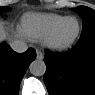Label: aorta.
I'll return each mask as SVG.
<instances>
[{
    "label": "aorta",
    "mask_w": 95,
    "mask_h": 95,
    "mask_svg": "<svg viewBox=\"0 0 95 95\" xmlns=\"http://www.w3.org/2000/svg\"><path fill=\"white\" fill-rule=\"evenodd\" d=\"M30 73L34 76H42L46 72V65L43 60H34L29 66Z\"/></svg>",
    "instance_id": "762f6f07"
}]
</instances>
